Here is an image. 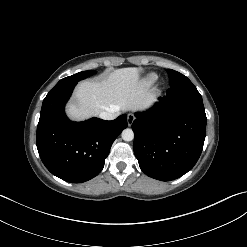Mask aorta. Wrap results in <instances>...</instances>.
Segmentation results:
<instances>
[{
    "label": "aorta",
    "instance_id": "obj_1",
    "mask_svg": "<svg viewBox=\"0 0 247 247\" xmlns=\"http://www.w3.org/2000/svg\"><path fill=\"white\" fill-rule=\"evenodd\" d=\"M124 141H132L134 139V132L132 129L126 128L121 133Z\"/></svg>",
    "mask_w": 247,
    "mask_h": 247
}]
</instances>
